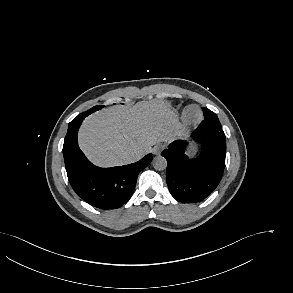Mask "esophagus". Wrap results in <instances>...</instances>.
Here are the masks:
<instances>
[{"mask_svg": "<svg viewBox=\"0 0 293 293\" xmlns=\"http://www.w3.org/2000/svg\"><path fill=\"white\" fill-rule=\"evenodd\" d=\"M164 148H165L164 145L159 144V145H156V146L152 149V151H153V153H154L155 155H159V154L163 151Z\"/></svg>", "mask_w": 293, "mask_h": 293, "instance_id": "obj_1", "label": "esophagus"}]
</instances>
